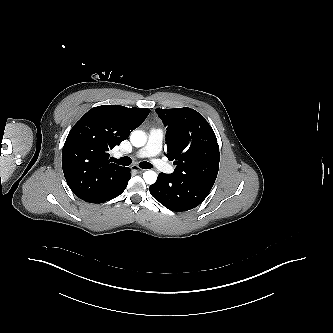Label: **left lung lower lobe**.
<instances>
[{"label":"left lung lower lobe","mask_w":333,"mask_h":333,"mask_svg":"<svg viewBox=\"0 0 333 333\" xmlns=\"http://www.w3.org/2000/svg\"><path fill=\"white\" fill-rule=\"evenodd\" d=\"M212 187L182 181L172 174L160 173L157 181L149 187L151 195L166 208L188 211L201 204Z\"/></svg>","instance_id":"obj_1"}]
</instances>
